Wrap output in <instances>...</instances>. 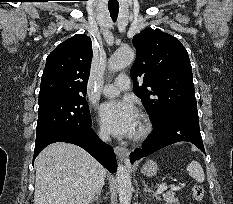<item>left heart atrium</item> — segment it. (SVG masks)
Segmentation results:
<instances>
[{"label":"left heart atrium","mask_w":233,"mask_h":204,"mask_svg":"<svg viewBox=\"0 0 233 204\" xmlns=\"http://www.w3.org/2000/svg\"><path fill=\"white\" fill-rule=\"evenodd\" d=\"M137 117L134 105L128 100H111L99 107L100 123L108 132L119 137L133 135Z\"/></svg>","instance_id":"39dd6f15"}]
</instances>
